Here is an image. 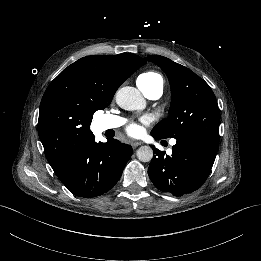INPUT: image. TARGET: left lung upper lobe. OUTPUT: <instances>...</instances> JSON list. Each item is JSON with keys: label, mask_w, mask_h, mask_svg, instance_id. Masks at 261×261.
Wrapping results in <instances>:
<instances>
[{"label": "left lung upper lobe", "mask_w": 261, "mask_h": 261, "mask_svg": "<svg viewBox=\"0 0 261 261\" xmlns=\"http://www.w3.org/2000/svg\"><path fill=\"white\" fill-rule=\"evenodd\" d=\"M145 59L165 72L172 94L170 116L160 121L151 134L179 139L191 132H204L219 137L220 112L210 86L190 69L169 58L151 55Z\"/></svg>", "instance_id": "5c2ea615"}]
</instances>
